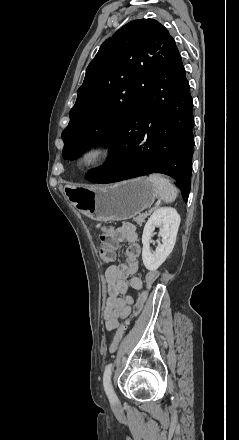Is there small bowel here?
Listing matches in <instances>:
<instances>
[{
  "mask_svg": "<svg viewBox=\"0 0 239 440\" xmlns=\"http://www.w3.org/2000/svg\"><path fill=\"white\" fill-rule=\"evenodd\" d=\"M135 225L125 223L114 232L115 248L109 261L115 259V250L119 243L127 242L125 261L119 265H110L106 272V306L104 309L105 327L108 331L116 329L119 321L128 317L134 298L131 290H139L143 286L142 279L136 276L141 247L137 243Z\"/></svg>",
  "mask_w": 239,
  "mask_h": 440,
  "instance_id": "obj_1",
  "label": "small bowel"
}]
</instances>
